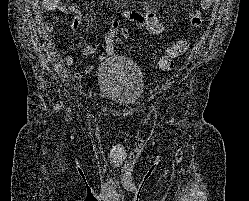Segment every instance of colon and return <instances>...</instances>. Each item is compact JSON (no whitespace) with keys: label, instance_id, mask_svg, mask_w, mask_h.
<instances>
[{"label":"colon","instance_id":"1","mask_svg":"<svg viewBox=\"0 0 249 201\" xmlns=\"http://www.w3.org/2000/svg\"><path fill=\"white\" fill-rule=\"evenodd\" d=\"M188 49V43L185 40H178L175 42L172 46L170 51L165 54L160 60H159V68L162 71H168L172 69L174 65V60L184 54L186 50Z\"/></svg>","mask_w":249,"mask_h":201}]
</instances>
